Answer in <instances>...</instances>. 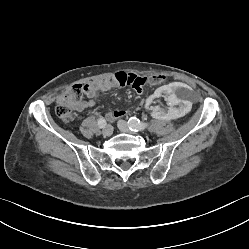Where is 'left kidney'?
<instances>
[{
    "label": "left kidney",
    "instance_id": "left-kidney-1",
    "mask_svg": "<svg viewBox=\"0 0 249 249\" xmlns=\"http://www.w3.org/2000/svg\"><path fill=\"white\" fill-rule=\"evenodd\" d=\"M195 100L196 94L190 86L174 82L160 86L148 96L142 104V111L161 121L174 122L189 114Z\"/></svg>",
    "mask_w": 249,
    "mask_h": 249
}]
</instances>
